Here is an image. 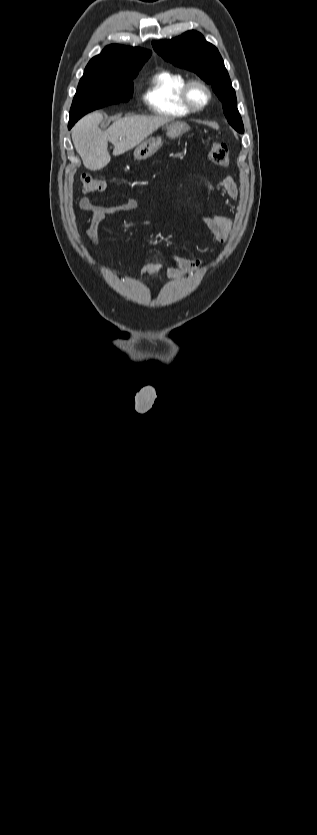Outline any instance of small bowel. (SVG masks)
I'll list each match as a JSON object with an SVG mask.
<instances>
[{
    "label": "small bowel",
    "mask_w": 317,
    "mask_h": 835,
    "mask_svg": "<svg viewBox=\"0 0 317 835\" xmlns=\"http://www.w3.org/2000/svg\"><path fill=\"white\" fill-rule=\"evenodd\" d=\"M207 189L211 188V181L207 180L206 182ZM216 185L222 189L231 199L236 200L239 196V190L237 187L236 182L230 176H223L220 177L216 181ZM80 208L84 211H88L91 213L90 222L86 231L87 238L94 246H98V234L100 231V226L105 218V214L110 212L111 209L96 205L91 203V201L84 197L80 201ZM137 208V201L133 198H128L123 201L121 204L116 205L113 210L122 211V212H130ZM204 223L207 226L210 233L213 235L216 241L221 244H224L231 232L233 223L232 220L224 215L220 214H212L208 215L204 218ZM158 255L155 256L154 262L145 266L142 269V273H152L157 268L158 262ZM167 257L176 265L177 268L185 271L188 274H191L197 271L201 266L202 262L199 260L188 259L184 257H180L173 254H167Z\"/></svg>",
    "instance_id": "obj_1"
}]
</instances>
